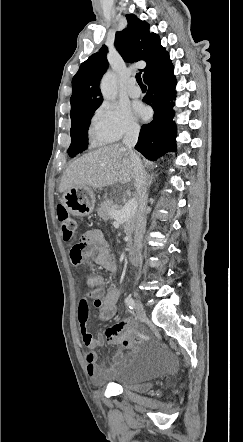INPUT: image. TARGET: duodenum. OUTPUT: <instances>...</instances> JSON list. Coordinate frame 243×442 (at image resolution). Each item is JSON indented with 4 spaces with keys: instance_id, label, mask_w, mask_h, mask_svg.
<instances>
[{
    "instance_id": "duodenum-1",
    "label": "duodenum",
    "mask_w": 243,
    "mask_h": 442,
    "mask_svg": "<svg viewBox=\"0 0 243 442\" xmlns=\"http://www.w3.org/2000/svg\"><path fill=\"white\" fill-rule=\"evenodd\" d=\"M128 260L131 264L135 265L138 263V254L133 248H129L127 251Z\"/></svg>"
}]
</instances>
